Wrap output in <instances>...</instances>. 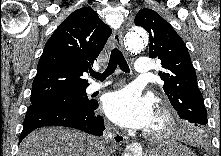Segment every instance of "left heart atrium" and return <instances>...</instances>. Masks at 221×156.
<instances>
[{"instance_id": "obj_1", "label": "left heart atrium", "mask_w": 221, "mask_h": 156, "mask_svg": "<svg viewBox=\"0 0 221 156\" xmlns=\"http://www.w3.org/2000/svg\"><path fill=\"white\" fill-rule=\"evenodd\" d=\"M103 109L110 120L124 128L148 129L155 120L152 99L134 87L107 94Z\"/></svg>"}]
</instances>
